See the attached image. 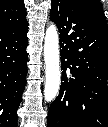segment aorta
<instances>
[{"instance_id": "1", "label": "aorta", "mask_w": 108, "mask_h": 127, "mask_svg": "<svg viewBox=\"0 0 108 127\" xmlns=\"http://www.w3.org/2000/svg\"><path fill=\"white\" fill-rule=\"evenodd\" d=\"M44 58L46 63V82L44 97L47 102L52 101L59 92L60 86V58H59V36L55 24L46 29L44 40Z\"/></svg>"}]
</instances>
